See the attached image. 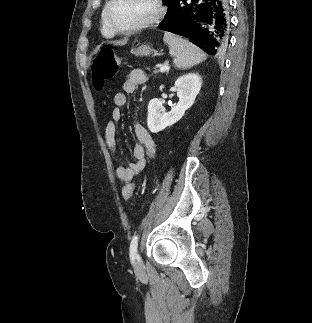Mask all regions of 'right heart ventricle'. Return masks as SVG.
<instances>
[{
  "label": "right heart ventricle",
  "instance_id": "e07e8e85",
  "mask_svg": "<svg viewBox=\"0 0 312 323\" xmlns=\"http://www.w3.org/2000/svg\"><path fill=\"white\" fill-rule=\"evenodd\" d=\"M97 25L99 33H112L113 31V22L110 21V18H105L103 13H100L97 18Z\"/></svg>",
  "mask_w": 312,
  "mask_h": 323
}]
</instances>
